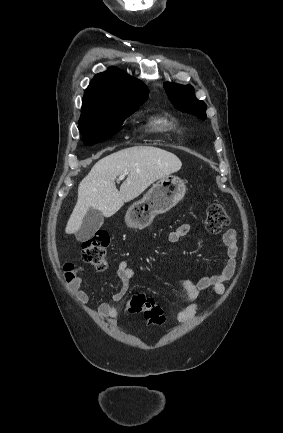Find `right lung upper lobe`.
Returning <instances> with one entry per match:
<instances>
[{
  "instance_id": "1",
  "label": "right lung upper lobe",
  "mask_w": 283,
  "mask_h": 433,
  "mask_svg": "<svg viewBox=\"0 0 283 433\" xmlns=\"http://www.w3.org/2000/svg\"><path fill=\"white\" fill-rule=\"evenodd\" d=\"M148 89L140 80L115 67L97 74L85 90L82 112L139 107Z\"/></svg>"
}]
</instances>
